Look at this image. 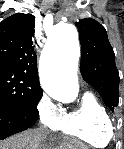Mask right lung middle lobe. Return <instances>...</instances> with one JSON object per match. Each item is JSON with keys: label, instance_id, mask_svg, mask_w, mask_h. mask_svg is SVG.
<instances>
[{"label": "right lung middle lobe", "instance_id": "1", "mask_svg": "<svg viewBox=\"0 0 124 149\" xmlns=\"http://www.w3.org/2000/svg\"><path fill=\"white\" fill-rule=\"evenodd\" d=\"M41 87L18 71L0 67V104L25 108L38 114Z\"/></svg>", "mask_w": 124, "mask_h": 149}]
</instances>
